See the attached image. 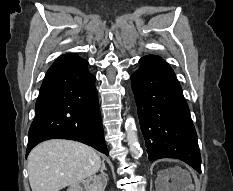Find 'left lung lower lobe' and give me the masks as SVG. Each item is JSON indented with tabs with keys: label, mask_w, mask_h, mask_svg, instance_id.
I'll return each instance as SVG.
<instances>
[{
	"label": "left lung lower lobe",
	"mask_w": 233,
	"mask_h": 191,
	"mask_svg": "<svg viewBox=\"0 0 233 191\" xmlns=\"http://www.w3.org/2000/svg\"><path fill=\"white\" fill-rule=\"evenodd\" d=\"M132 90L149 160L176 158L201 172L197 134L181 86L159 56L140 59Z\"/></svg>",
	"instance_id": "left-lung-lower-lobe-1"
}]
</instances>
